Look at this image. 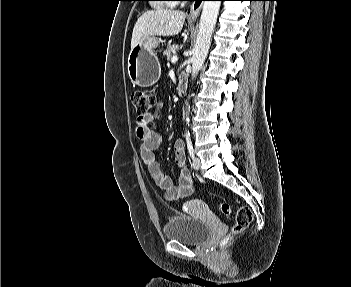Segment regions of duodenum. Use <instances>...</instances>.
Returning <instances> with one entry per match:
<instances>
[{"label":"duodenum","mask_w":351,"mask_h":287,"mask_svg":"<svg viewBox=\"0 0 351 287\" xmlns=\"http://www.w3.org/2000/svg\"><path fill=\"white\" fill-rule=\"evenodd\" d=\"M184 90H185V82H184L183 79H181L179 81L178 91H179L180 94H182L184 92Z\"/></svg>","instance_id":"duodenum-1"}]
</instances>
